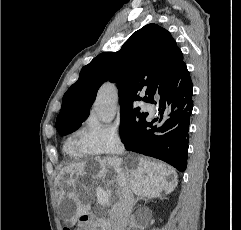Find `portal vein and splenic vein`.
Returning a JSON list of instances; mask_svg holds the SVG:
<instances>
[{
  "instance_id": "1",
  "label": "portal vein and splenic vein",
  "mask_w": 241,
  "mask_h": 230,
  "mask_svg": "<svg viewBox=\"0 0 241 230\" xmlns=\"http://www.w3.org/2000/svg\"><path fill=\"white\" fill-rule=\"evenodd\" d=\"M97 198H98V203L100 205H105L108 203L109 201V196L106 192L102 191V190H99L97 192Z\"/></svg>"
}]
</instances>
